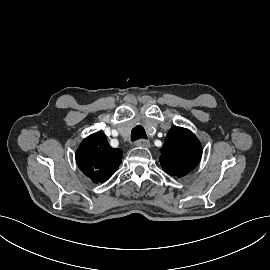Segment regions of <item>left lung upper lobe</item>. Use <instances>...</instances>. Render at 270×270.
I'll return each instance as SVG.
<instances>
[{"mask_svg":"<svg viewBox=\"0 0 270 270\" xmlns=\"http://www.w3.org/2000/svg\"><path fill=\"white\" fill-rule=\"evenodd\" d=\"M160 152V163L165 172L182 177L199 164L202 147L190 130L174 126L169 130Z\"/></svg>","mask_w":270,"mask_h":270,"instance_id":"5c2ea615","label":"left lung upper lobe"}]
</instances>
